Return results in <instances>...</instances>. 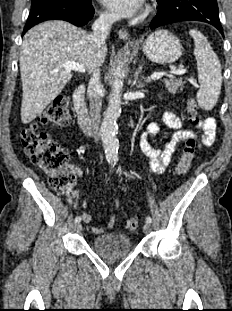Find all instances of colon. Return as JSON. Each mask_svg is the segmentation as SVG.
<instances>
[{"label":"colon","mask_w":232,"mask_h":311,"mask_svg":"<svg viewBox=\"0 0 232 311\" xmlns=\"http://www.w3.org/2000/svg\"><path fill=\"white\" fill-rule=\"evenodd\" d=\"M186 111L190 123L196 124L199 121V105L195 98L187 99ZM71 118L69 99L66 96H57L40 116V123L66 126ZM21 140L31 161L49 177L53 188L71 196L74 192V175L66 169L67 152L56 141L41 132L37 124L25 127L21 132ZM196 150V138H188L175 168L177 175L183 176L188 172ZM125 226L129 230H136L138 220L130 218L126 220Z\"/></svg>","instance_id":"1"}]
</instances>
